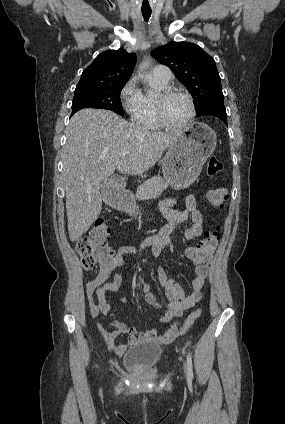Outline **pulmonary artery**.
Here are the masks:
<instances>
[{
	"mask_svg": "<svg viewBox=\"0 0 285 424\" xmlns=\"http://www.w3.org/2000/svg\"><path fill=\"white\" fill-rule=\"evenodd\" d=\"M152 75L154 79L157 81L163 83V84H169V82L172 79V72L171 70L164 65H157L153 67L152 69Z\"/></svg>",
	"mask_w": 285,
	"mask_h": 424,
	"instance_id": "1",
	"label": "pulmonary artery"
}]
</instances>
